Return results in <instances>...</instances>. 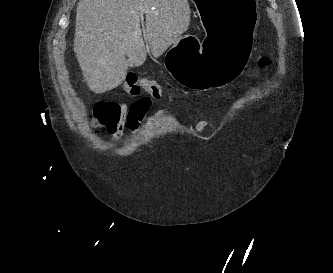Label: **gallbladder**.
<instances>
[{"label":"gallbladder","instance_id":"1","mask_svg":"<svg viewBox=\"0 0 333 273\" xmlns=\"http://www.w3.org/2000/svg\"><path fill=\"white\" fill-rule=\"evenodd\" d=\"M131 66V64H130V62H128V67H130Z\"/></svg>","mask_w":333,"mask_h":273}]
</instances>
